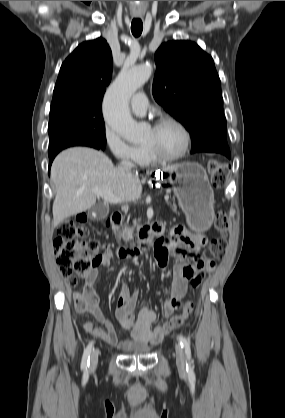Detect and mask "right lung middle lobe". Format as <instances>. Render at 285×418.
Listing matches in <instances>:
<instances>
[{"mask_svg":"<svg viewBox=\"0 0 285 418\" xmlns=\"http://www.w3.org/2000/svg\"><path fill=\"white\" fill-rule=\"evenodd\" d=\"M48 130L49 157L81 143H93L103 150L106 147L101 105L52 104Z\"/></svg>","mask_w":285,"mask_h":418,"instance_id":"right-lung-middle-lobe-1","label":"right lung middle lobe"}]
</instances>
